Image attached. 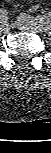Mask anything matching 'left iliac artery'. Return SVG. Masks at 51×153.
Listing matches in <instances>:
<instances>
[{"mask_svg":"<svg viewBox=\"0 0 51 153\" xmlns=\"http://www.w3.org/2000/svg\"><path fill=\"white\" fill-rule=\"evenodd\" d=\"M27 20H31L32 22H40L42 24H46L47 28L51 27V13H48L44 16H39L37 18H31L30 15L22 14Z\"/></svg>","mask_w":51,"mask_h":153,"instance_id":"obj_1","label":"left iliac artery"}]
</instances>
